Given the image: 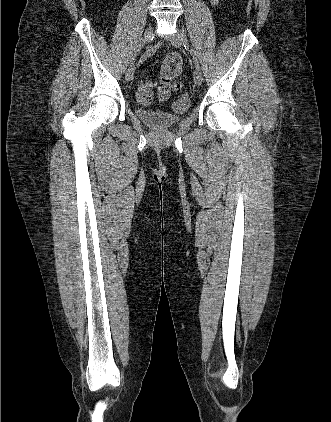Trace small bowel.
<instances>
[{"instance_id":"1","label":"small bowel","mask_w":331,"mask_h":422,"mask_svg":"<svg viewBox=\"0 0 331 422\" xmlns=\"http://www.w3.org/2000/svg\"><path fill=\"white\" fill-rule=\"evenodd\" d=\"M218 2H219V0H210V3L212 5H216V4H218ZM156 50H157V45L151 46L144 53L145 58H148V57L154 55L155 52H156ZM152 90H153L152 83H150V82H143V83H141V85L139 87V90H138V93H137L138 101L142 103V100L145 99L146 100L145 103L150 102L151 99H152Z\"/></svg>"}]
</instances>
